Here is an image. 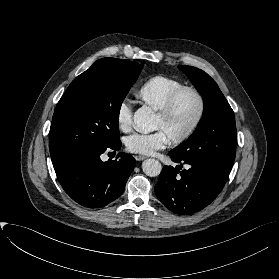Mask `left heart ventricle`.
Instances as JSON below:
<instances>
[{
    "instance_id": "obj_1",
    "label": "left heart ventricle",
    "mask_w": 279,
    "mask_h": 279,
    "mask_svg": "<svg viewBox=\"0 0 279 279\" xmlns=\"http://www.w3.org/2000/svg\"><path fill=\"white\" fill-rule=\"evenodd\" d=\"M197 110L196 98L190 93H184L177 99L168 117L156 116L154 129L162 130L168 139L178 136L191 125Z\"/></svg>"
}]
</instances>
